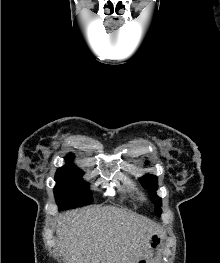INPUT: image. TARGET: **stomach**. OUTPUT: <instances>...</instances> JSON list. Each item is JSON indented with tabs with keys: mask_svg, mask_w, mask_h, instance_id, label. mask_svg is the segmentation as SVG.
<instances>
[{
	"mask_svg": "<svg viewBox=\"0 0 220 263\" xmlns=\"http://www.w3.org/2000/svg\"><path fill=\"white\" fill-rule=\"evenodd\" d=\"M164 237L160 232H154L148 240V249L147 251L138 259L136 263H151L150 262V253L153 250H157L163 244Z\"/></svg>",
	"mask_w": 220,
	"mask_h": 263,
	"instance_id": "1",
	"label": "stomach"
}]
</instances>
